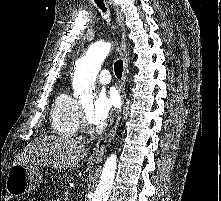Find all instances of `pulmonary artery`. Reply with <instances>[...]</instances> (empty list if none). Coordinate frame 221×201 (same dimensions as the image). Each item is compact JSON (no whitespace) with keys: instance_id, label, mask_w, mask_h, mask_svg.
<instances>
[{"instance_id":"obj_1","label":"pulmonary artery","mask_w":221,"mask_h":201,"mask_svg":"<svg viewBox=\"0 0 221 201\" xmlns=\"http://www.w3.org/2000/svg\"><path fill=\"white\" fill-rule=\"evenodd\" d=\"M98 81L101 84H108L111 81V75L110 72L108 70H102L99 75H98Z\"/></svg>"}]
</instances>
